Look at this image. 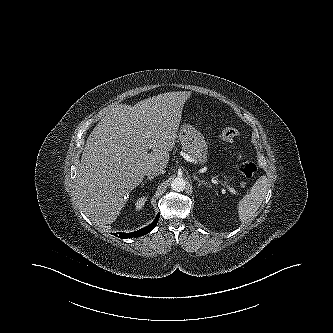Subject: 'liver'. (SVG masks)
<instances>
[{"label": "liver", "mask_w": 333, "mask_h": 333, "mask_svg": "<svg viewBox=\"0 0 333 333\" xmlns=\"http://www.w3.org/2000/svg\"><path fill=\"white\" fill-rule=\"evenodd\" d=\"M190 96L185 91L168 92L133 107L115 105L96 125L86 141L75 181L78 205L93 223H113L147 170L166 168Z\"/></svg>", "instance_id": "1"}]
</instances>
